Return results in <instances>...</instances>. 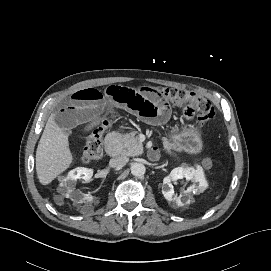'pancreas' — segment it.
Listing matches in <instances>:
<instances>
[{
    "mask_svg": "<svg viewBox=\"0 0 271 271\" xmlns=\"http://www.w3.org/2000/svg\"><path fill=\"white\" fill-rule=\"evenodd\" d=\"M123 150L122 155L124 156H136L143 152V145L139 141L136 132L126 133L122 135ZM170 149V146H167Z\"/></svg>",
    "mask_w": 271,
    "mask_h": 271,
    "instance_id": "pancreas-1",
    "label": "pancreas"
}]
</instances>
